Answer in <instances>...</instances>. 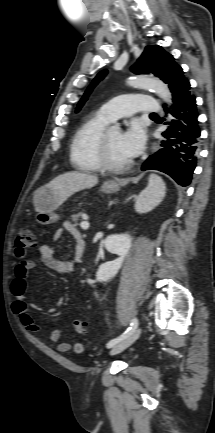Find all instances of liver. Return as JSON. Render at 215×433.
Instances as JSON below:
<instances>
[{"label":"liver","instance_id":"6515ba94","mask_svg":"<svg viewBox=\"0 0 215 433\" xmlns=\"http://www.w3.org/2000/svg\"><path fill=\"white\" fill-rule=\"evenodd\" d=\"M97 183L98 177L95 175L81 172H66L54 178L47 186L54 190L61 205L72 194L86 188H92Z\"/></svg>","mask_w":215,"mask_h":433}]
</instances>
